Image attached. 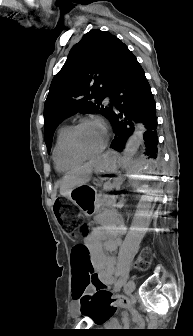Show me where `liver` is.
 Wrapping results in <instances>:
<instances>
[{"mask_svg":"<svg viewBox=\"0 0 193 336\" xmlns=\"http://www.w3.org/2000/svg\"><path fill=\"white\" fill-rule=\"evenodd\" d=\"M102 157L103 155L96 157L67 173L60 181V194L65 197H69L74 188L85 185L89 182L93 168L101 161Z\"/></svg>","mask_w":193,"mask_h":336,"instance_id":"1","label":"liver"}]
</instances>
